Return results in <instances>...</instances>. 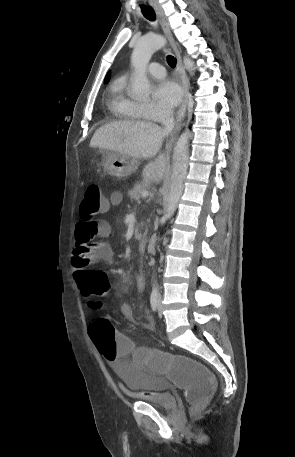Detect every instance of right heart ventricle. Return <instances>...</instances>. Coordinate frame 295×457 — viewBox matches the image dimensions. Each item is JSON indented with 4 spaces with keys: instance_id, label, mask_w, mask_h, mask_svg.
Segmentation results:
<instances>
[{
    "instance_id": "right-heart-ventricle-1",
    "label": "right heart ventricle",
    "mask_w": 295,
    "mask_h": 457,
    "mask_svg": "<svg viewBox=\"0 0 295 457\" xmlns=\"http://www.w3.org/2000/svg\"><path fill=\"white\" fill-rule=\"evenodd\" d=\"M108 106L118 119L136 121L142 118L139 103L130 98L123 80H116L109 87Z\"/></svg>"
}]
</instances>
